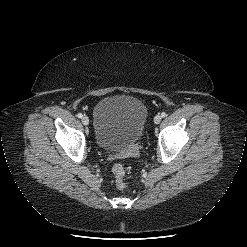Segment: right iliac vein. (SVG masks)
I'll use <instances>...</instances> for the list:
<instances>
[{
    "mask_svg": "<svg viewBox=\"0 0 247 247\" xmlns=\"http://www.w3.org/2000/svg\"><path fill=\"white\" fill-rule=\"evenodd\" d=\"M82 123L84 125H88L89 124V118L87 116L82 117Z\"/></svg>",
    "mask_w": 247,
    "mask_h": 247,
    "instance_id": "1",
    "label": "right iliac vein"
}]
</instances>
